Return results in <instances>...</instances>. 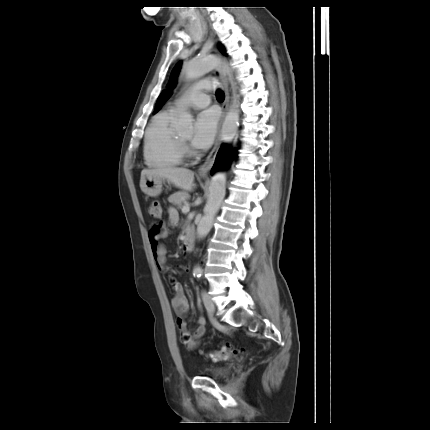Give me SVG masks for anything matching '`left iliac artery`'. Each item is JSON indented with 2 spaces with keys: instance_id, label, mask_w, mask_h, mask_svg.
I'll use <instances>...</instances> for the list:
<instances>
[{
  "instance_id": "44dca946",
  "label": "left iliac artery",
  "mask_w": 430,
  "mask_h": 430,
  "mask_svg": "<svg viewBox=\"0 0 430 430\" xmlns=\"http://www.w3.org/2000/svg\"><path fill=\"white\" fill-rule=\"evenodd\" d=\"M194 277L200 278L202 276V270L201 269H195L193 271Z\"/></svg>"
}]
</instances>
